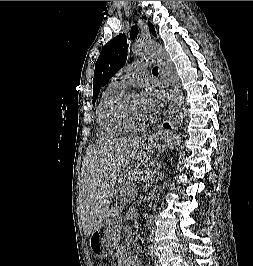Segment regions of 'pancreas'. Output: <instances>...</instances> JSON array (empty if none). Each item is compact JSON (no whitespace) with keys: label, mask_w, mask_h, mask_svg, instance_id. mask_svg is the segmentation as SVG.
I'll use <instances>...</instances> for the list:
<instances>
[{"label":"pancreas","mask_w":253,"mask_h":266,"mask_svg":"<svg viewBox=\"0 0 253 266\" xmlns=\"http://www.w3.org/2000/svg\"><path fill=\"white\" fill-rule=\"evenodd\" d=\"M120 201L125 203L128 201V198H132L136 194V187L133 182L132 177L127 178L126 180L122 181L120 184Z\"/></svg>","instance_id":"cf45deb5"}]
</instances>
